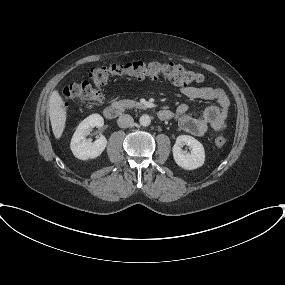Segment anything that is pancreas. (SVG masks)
<instances>
[{"label":"pancreas","instance_id":"cf45deb5","mask_svg":"<svg viewBox=\"0 0 285 285\" xmlns=\"http://www.w3.org/2000/svg\"><path fill=\"white\" fill-rule=\"evenodd\" d=\"M116 104L121 109L133 108V107L143 108V106L140 103L128 99L119 100L118 102H116Z\"/></svg>","mask_w":285,"mask_h":285}]
</instances>
